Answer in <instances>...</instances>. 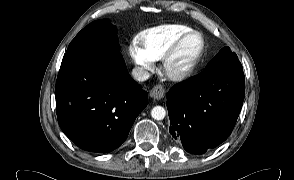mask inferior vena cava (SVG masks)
<instances>
[{"label": "inferior vena cava", "instance_id": "602c4592", "mask_svg": "<svg viewBox=\"0 0 294 180\" xmlns=\"http://www.w3.org/2000/svg\"><path fill=\"white\" fill-rule=\"evenodd\" d=\"M133 78L137 81L143 82L149 78V73L142 67H135L132 70Z\"/></svg>", "mask_w": 294, "mask_h": 180}]
</instances>
